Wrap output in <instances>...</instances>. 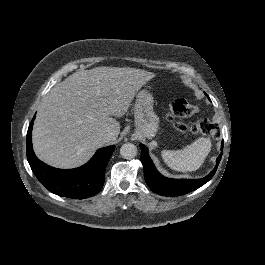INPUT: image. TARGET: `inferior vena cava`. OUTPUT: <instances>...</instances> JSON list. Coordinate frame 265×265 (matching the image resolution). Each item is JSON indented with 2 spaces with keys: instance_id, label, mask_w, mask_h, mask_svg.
<instances>
[{
  "instance_id": "1",
  "label": "inferior vena cava",
  "mask_w": 265,
  "mask_h": 265,
  "mask_svg": "<svg viewBox=\"0 0 265 265\" xmlns=\"http://www.w3.org/2000/svg\"><path fill=\"white\" fill-rule=\"evenodd\" d=\"M104 137L106 140L110 141L115 138V134L112 129L107 128L106 132L104 133Z\"/></svg>"
}]
</instances>
